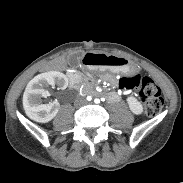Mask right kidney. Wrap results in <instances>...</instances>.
Returning a JSON list of instances; mask_svg holds the SVG:
<instances>
[{"mask_svg":"<svg viewBox=\"0 0 183 183\" xmlns=\"http://www.w3.org/2000/svg\"><path fill=\"white\" fill-rule=\"evenodd\" d=\"M54 85H58L59 89H66L67 77L60 72L51 71L37 75L28 83L23 95V108L30 119L47 123L56 116L60 107L58 102L42 103V98L47 97L46 89Z\"/></svg>","mask_w":183,"mask_h":183,"instance_id":"ca27d5eb","label":"right kidney"}]
</instances>
